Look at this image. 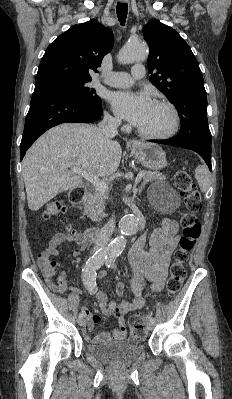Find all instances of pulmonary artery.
<instances>
[{"label":"pulmonary artery","instance_id":"pulmonary-artery-1","mask_svg":"<svg viewBox=\"0 0 232 399\" xmlns=\"http://www.w3.org/2000/svg\"><path fill=\"white\" fill-rule=\"evenodd\" d=\"M135 69H132L131 73H125L124 69H109L107 73L104 75V85H107V88H103L104 90H130L132 88L131 84H138L139 80L143 78V71L145 68L144 63H135ZM98 83V80L94 81ZM119 84V85H117Z\"/></svg>","mask_w":232,"mask_h":399}]
</instances>
